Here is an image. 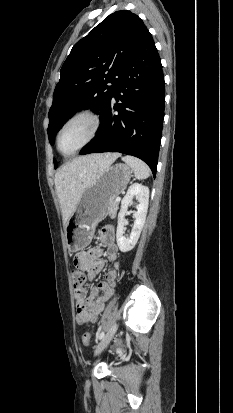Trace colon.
I'll use <instances>...</instances> for the list:
<instances>
[{
	"label": "colon",
	"mask_w": 233,
	"mask_h": 413,
	"mask_svg": "<svg viewBox=\"0 0 233 413\" xmlns=\"http://www.w3.org/2000/svg\"><path fill=\"white\" fill-rule=\"evenodd\" d=\"M76 269L73 270L72 272V279H73V285L76 290H79L82 288V286L86 282V274L81 271V269L76 265ZM91 338L92 334L90 332H85L82 336V343L84 346L89 347L91 344Z\"/></svg>",
	"instance_id": "obj_1"
}]
</instances>
